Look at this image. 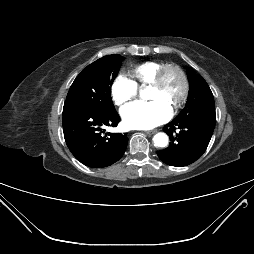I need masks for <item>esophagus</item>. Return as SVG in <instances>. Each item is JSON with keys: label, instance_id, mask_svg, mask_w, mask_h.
<instances>
[{"label": "esophagus", "instance_id": "1", "mask_svg": "<svg viewBox=\"0 0 254 254\" xmlns=\"http://www.w3.org/2000/svg\"><path fill=\"white\" fill-rule=\"evenodd\" d=\"M157 131L156 130H152V131H146L145 133L147 134V135H152V134H154V133H156Z\"/></svg>", "mask_w": 254, "mask_h": 254}]
</instances>
